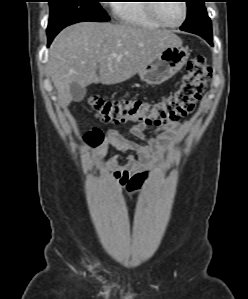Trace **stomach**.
Instances as JSON below:
<instances>
[{"instance_id": "obj_1", "label": "stomach", "mask_w": 248, "mask_h": 299, "mask_svg": "<svg viewBox=\"0 0 248 299\" xmlns=\"http://www.w3.org/2000/svg\"><path fill=\"white\" fill-rule=\"evenodd\" d=\"M189 57L188 49L171 45L161 51L155 59L139 72L141 81L148 85H159L182 69Z\"/></svg>"}]
</instances>
